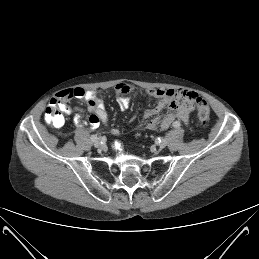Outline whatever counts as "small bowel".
I'll list each match as a JSON object with an SVG mask.
<instances>
[{"label": "small bowel", "mask_w": 259, "mask_h": 259, "mask_svg": "<svg viewBox=\"0 0 259 259\" xmlns=\"http://www.w3.org/2000/svg\"><path fill=\"white\" fill-rule=\"evenodd\" d=\"M133 91L134 87L130 84L120 83L116 85V101L121 110H126L131 105L130 93ZM147 94L157 98L158 102L154 107L143 112L137 126H143L149 130H166L177 121H181L187 125L189 116L195 108V99L198 97L195 92L183 88L152 89L148 90ZM72 97L84 99L87 102L91 113L88 122L82 120L79 109L66 105V102ZM52 101H60V109L66 114L75 111L76 114L73 120L78 127L86 124H89L91 128H97L101 124L109 125L105 102L98 97L95 91L84 90L82 88L64 90L58 93ZM165 109L168 110L166 113L163 112ZM111 132L113 135H117L119 130L112 128Z\"/></svg>", "instance_id": "obj_1"}]
</instances>
